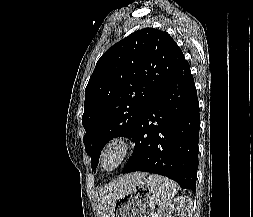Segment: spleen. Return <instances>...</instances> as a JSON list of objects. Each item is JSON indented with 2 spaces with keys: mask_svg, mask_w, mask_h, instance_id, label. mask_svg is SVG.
Wrapping results in <instances>:
<instances>
[{
  "mask_svg": "<svg viewBox=\"0 0 253 217\" xmlns=\"http://www.w3.org/2000/svg\"><path fill=\"white\" fill-rule=\"evenodd\" d=\"M148 179L157 188V201L160 210L172 201V198L177 194V184L169 178L151 174Z\"/></svg>",
  "mask_w": 253,
  "mask_h": 217,
  "instance_id": "1",
  "label": "spleen"
}]
</instances>
